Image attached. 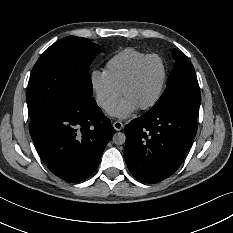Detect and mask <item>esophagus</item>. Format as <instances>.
<instances>
[{
	"label": "esophagus",
	"instance_id": "esophagus-1",
	"mask_svg": "<svg viewBox=\"0 0 233 233\" xmlns=\"http://www.w3.org/2000/svg\"><path fill=\"white\" fill-rule=\"evenodd\" d=\"M113 127L115 128L116 131H120V130H122L124 125H123L122 122L116 121V122L113 123Z\"/></svg>",
	"mask_w": 233,
	"mask_h": 233
}]
</instances>
